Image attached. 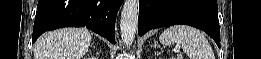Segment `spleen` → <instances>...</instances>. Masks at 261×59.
<instances>
[{
  "mask_svg": "<svg viewBox=\"0 0 261 59\" xmlns=\"http://www.w3.org/2000/svg\"><path fill=\"white\" fill-rule=\"evenodd\" d=\"M159 40L164 45L180 44L190 59H215L207 38L191 26H171L162 32Z\"/></svg>",
  "mask_w": 261,
  "mask_h": 59,
  "instance_id": "3e777b00",
  "label": "spleen"
}]
</instances>
